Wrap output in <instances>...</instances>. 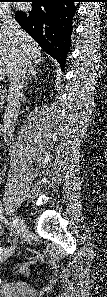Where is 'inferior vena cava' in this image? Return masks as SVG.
Masks as SVG:
<instances>
[{
	"label": "inferior vena cava",
	"instance_id": "obj_1",
	"mask_svg": "<svg viewBox=\"0 0 107 297\" xmlns=\"http://www.w3.org/2000/svg\"><path fill=\"white\" fill-rule=\"evenodd\" d=\"M0 30L9 36L16 37L19 34L20 27L15 19L7 13L1 17ZM30 66L31 60L29 56L24 50H20L9 71V90L6 111L4 114L5 129L7 130L8 136L6 142L8 145L11 143V140H13V133L23 97V88L26 79L25 75Z\"/></svg>",
	"mask_w": 107,
	"mask_h": 297
}]
</instances>
